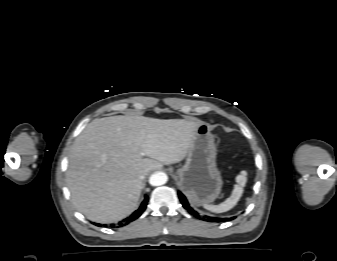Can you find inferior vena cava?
I'll return each mask as SVG.
<instances>
[{
    "mask_svg": "<svg viewBox=\"0 0 337 261\" xmlns=\"http://www.w3.org/2000/svg\"><path fill=\"white\" fill-rule=\"evenodd\" d=\"M147 173H148V169H144L143 171H141L139 178L143 180Z\"/></svg>",
    "mask_w": 337,
    "mask_h": 261,
    "instance_id": "obj_1",
    "label": "inferior vena cava"
}]
</instances>
